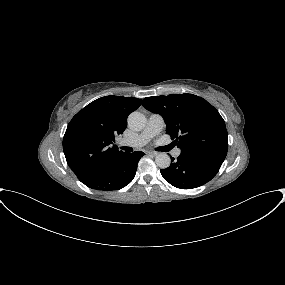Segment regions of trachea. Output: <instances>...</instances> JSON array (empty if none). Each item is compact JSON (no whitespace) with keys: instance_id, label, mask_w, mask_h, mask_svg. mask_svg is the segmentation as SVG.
<instances>
[{"instance_id":"trachea-1","label":"trachea","mask_w":285,"mask_h":285,"mask_svg":"<svg viewBox=\"0 0 285 285\" xmlns=\"http://www.w3.org/2000/svg\"><path fill=\"white\" fill-rule=\"evenodd\" d=\"M121 149L125 150V151H129L131 152L133 149L131 147H121Z\"/></svg>"}]
</instances>
